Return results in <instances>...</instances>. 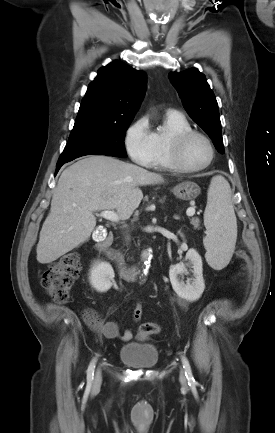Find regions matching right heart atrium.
Here are the masks:
<instances>
[{
	"label": "right heart atrium",
	"mask_w": 275,
	"mask_h": 433,
	"mask_svg": "<svg viewBox=\"0 0 275 433\" xmlns=\"http://www.w3.org/2000/svg\"><path fill=\"white\" fill-rule=\"evenodd\" d=\"M124 142L133 162L141 166L150 165L153 156L152 131L145 116L138 118L128 127Z\"/></svg>",
	"instance_id": "right-heart-atrium-1"
}]
</instances>
